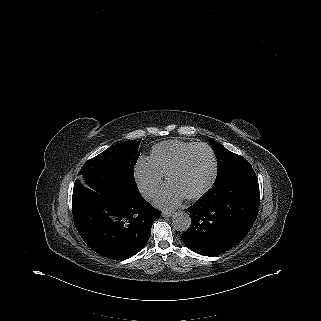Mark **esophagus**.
Returning a JSON list of instances; mask_svg holds the SVG:
<instances>
[{"mask_svg":"<svg viewBox=\"0 0 321 321\" xmlns=\"http://www.w3.org/2000/svg\"><path fill=\"white\" fill-rule=\"evenodd\" d=\"M174 214V211H163L162 216L163 217H171Z\"/></svg>","mask_w":321,"mask_h":321,"instance_id":"obj_1","label":"esophagus"}]
</instances>
